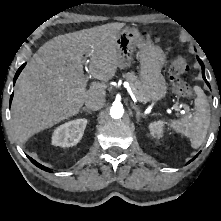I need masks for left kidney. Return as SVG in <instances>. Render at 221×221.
<instances>
[{
  "mask_svg": "<svg viewBox=\"0 0 221 221\" xmlns=\"http://www.w3.org/2000/svg\"><path fill=\"white\" fill-rule=\"evenodd\" d=\"M163 126H164V121H161V120L150 123L149 130L151 132V135L155 138L162 137V135H163Z\"/></svg>",
  "mask_w": 221,
  "mask_h": 221,
  "instance_id": "left-kidney-1",
  "label": "left kidney"
}]
</instances>
